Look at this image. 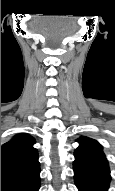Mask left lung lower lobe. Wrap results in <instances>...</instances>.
<instances>
[{
  "label": "left lung lower lobe",
  "mask_w": 115,
  "mask_h": 191,
  "mask_svg": "<svg viewBox=\"0 0 115 191\" xmlns=\"http://www.w3.org/2000/svg\"><path fill=\"white\" fill-rule=\"evenodd\" d=\"M75 184L79 191H108L109 167L94 162L74 161Z\"/></svg>",
  "instance_id": "obj_1"
}]
</instances>
